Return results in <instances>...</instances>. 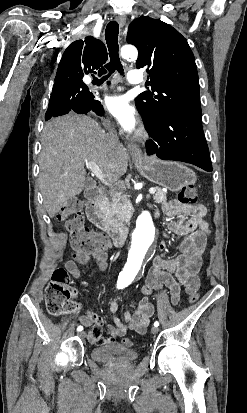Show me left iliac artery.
Instances as JSON below:
<instances>
[{"instance_id": "obj_1", "label": "left iliac artery", "mask_w": 247, "mask_h": 413, "mask_svg": "<svg viewBox=\"0 0 247 413\" xmlns=\"http://www.w3.org/2000/svg\"><path fill=\"white\" fill-rule=\"evenodd\" d=\"M154 326H155V327H158V326H159L158 321L154 322Z\"/></svg>"}]
</instances>
